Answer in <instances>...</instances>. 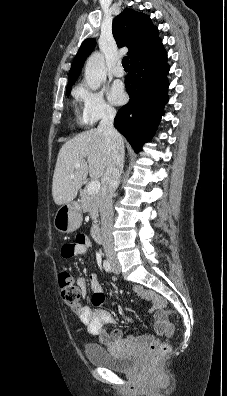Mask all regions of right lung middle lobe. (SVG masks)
<instances>
[{
	"label": "right lung middle lobe",
	"instance_id": "1",
	"mask_svg": "<svg viewBox=\"0 0 227 396\" xmlns=\"http://www.w3.org/2000/svg\"><path fill=\"white\" fill-rule=\"evenodd\" d=\"M69 93H70V90H67V95H69Z\"/></svg>",
	"mask_w": 227,
	"mask_h": 396
}]
</instances>
